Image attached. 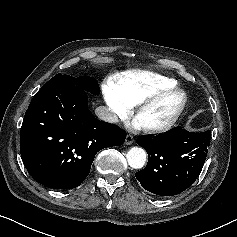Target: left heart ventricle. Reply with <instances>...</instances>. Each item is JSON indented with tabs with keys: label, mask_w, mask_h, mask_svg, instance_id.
<instances>
[{
	"label": "left heart ventricle",
	"mask_w": 237,
	"mask_h": 237,
	"mask_svg": "<svg viewBox=\"0 0 237 237\" xmlns=\"http://www.w3.org/2000/svg\"><path fill=\"white\" fill-rule=\"evenodd\" d=\"M180 97L178 95H171L156 105L144 110L138 117L137 120L142 126L160 124L166 121L178 106Z\"/></svg>",
	"instance_id": "obj_1"
}]
</instances>
